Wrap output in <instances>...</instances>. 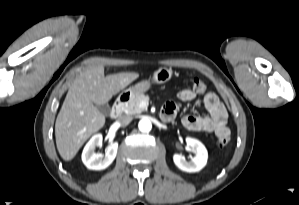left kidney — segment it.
I'll return each mask as SVG.
<instances>
[{
    "mask_svg": "<svg viewBox=\"0 0 299 205\" xmlns=\"http://www.w3.org/2000/svg\"><path fill=\"white\" fill-rule=\"evenodd\" d=\"M187 146L196 150V155L191 159V161H186L184 156L180 154H175L173 156V161L175 165L182 171L185 172H198L207 163L208 152L205 146L195 138H186Z\"/></svg>",
    "mask_w": 299,
    "mask_h": 205,
    "instance_id": "obj_1",
    "label": "left kidney"
}]
</instances>
